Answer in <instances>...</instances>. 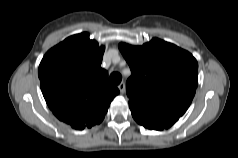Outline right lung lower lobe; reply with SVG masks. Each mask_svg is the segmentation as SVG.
I'll list each match as a JSON object with an SVG mask.
<instances>
[{"mask_svg":"<svg viewBox=\"0 0 238 158\" xmlns=\"http://www.w3.org/2000/svg\"><path fill=\"white\" fill-rule=\"evenodd\" d=\"M100 122H101V121H99V122L89 121V122H87V123H85V124L72 125V127L75 128V129H84L85 127H91V126H93V125H95V124H99Z\"/></svg>","mask_w":238,"mask_h":158,"instance_id":"right-lung-lower-lobe-1","label":"right lung lower lobe"}]
</instances>
